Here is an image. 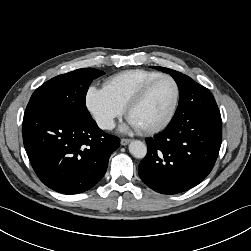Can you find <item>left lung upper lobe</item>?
Here are the masks:
<instances>
[{"instance_id": "obj_1", "label": "left lung upper lobe", "mask_w": 251, "mask_h": 251, "mask_svg": "<svg viewBox=\"0 0 251 251\" xmlns=\"http://www.w3.org/2000/svg\"><path fill=\"white\" fill-rule=\"evenodd\" d=\"M154 68L169 73L175 79L180 91V96H182V94L184 93H189L195 89L202 87L200 84L193 81L190 77L175 70L164 67H154Z\"/></svg>"}]
</instances>
